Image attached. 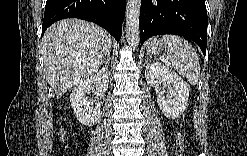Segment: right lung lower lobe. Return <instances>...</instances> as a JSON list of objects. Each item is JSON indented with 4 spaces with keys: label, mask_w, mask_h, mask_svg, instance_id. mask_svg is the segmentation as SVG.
Returning a JSON list of instances; mask_svg holds the SVG:
<instances>
[{
    "label": "right lung lower lobe",
    "mask_w": 247,
    "mask_h": 156,
    "mask_svg": "<svg viewBox=\"0 0 247 156\" xmlns=\"http://www.w3.org/2000/svg\"><path fill=\"white\" fill-rule=\"evenodd\" d=\"M125 9L126 0H47L42 35L58 20L79 18L103 27L119 41Z\"/></svg>",
    "instance_id": "right-lung-lower-lobe-1"
}]
</instances>
